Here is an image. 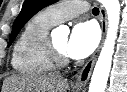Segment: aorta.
Listing matches in <instances>:
<instances>
[{
  "label": "aorta",
  "instance_id": "762f6f07",
  "mask_svg": "<svg viewBox=\"0 0 127 92\" xmlns=\"http://www.w3.org/2000/svg\"><path fill=\"white\" fill-rule=\"evenodd\" d=\"M105 7L108 17V30L106 40L96 62L91 78L89 92H105L108 81L112 56L114 53L115 40L120 21V3L119 0H100ZM59 31H68L64 25L58 28Z\"/></svg>",
  "mask_w": 127,
  "mask_h": 92
}]
</instances>
